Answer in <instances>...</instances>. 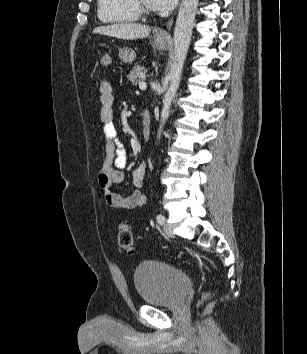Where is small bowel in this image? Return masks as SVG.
Returning <instances> with one entry per match:
<instances>
[{
    "label": "small bowel",
    "instance_id": "c3829d8e",
    "mask_svg": "<svg viewBox=\"0 0 307 354\" xmlns=\"http://www.w3.org/2000/svg\"><path fill=\"white\" fill-rule=\"evenodd\" d=\"M99 92L105 159L100 168L98 181L104 199L108 205L115 209L129 210L142 207L146 202V197L140 190L146 172L144 163L132 171L134 191L128 195H121L113 190V184H119L124 180L122 170L127 164V152L118 138L117 129L113 122L114 95L112 85L107 78L101 79ZM144 137L149 138L148 129L144 130Z\"/></svg>",
    "mask_w": 307,
    "mask_h": 354
}]
</instances>
